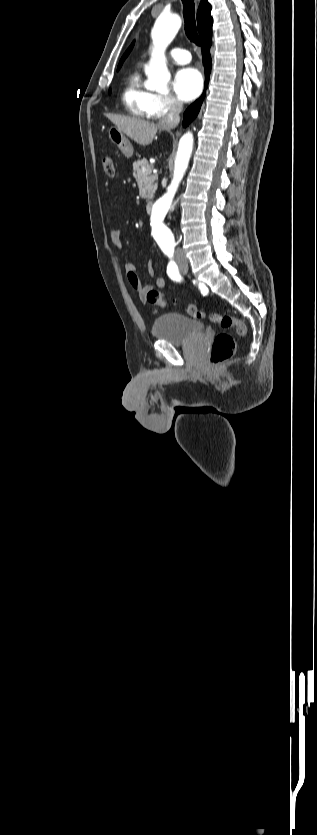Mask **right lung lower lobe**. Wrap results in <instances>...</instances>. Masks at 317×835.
Instances as JSON below:
<instances>
[{"label":"right lung lower lobe","instance_id":"right-lung-lower-lobe-1","mask_svg":"<svg viewBox=\"0 0 317 835\" xmlns=\"http://www.w3.org/2000/svg\"><path fill=\"white\" fill-rule=\"evenodd\" d=\"M211 44H212V33L208 37H206L205 39L202 40V56H203V64L205 66V88H207V85H208V82H209V76H210V72H211V55H210ZM204 97H205V92H203L201 97L199 99H197L185 111L184 117H183L184 118V121H183L184 126H187L197 116V114L199 113V110L201 108L202 102L204 100Z\"/></svg>","mask_w":317,"mask_h":835}]
</instances>
